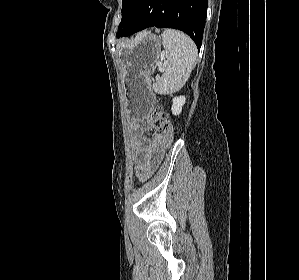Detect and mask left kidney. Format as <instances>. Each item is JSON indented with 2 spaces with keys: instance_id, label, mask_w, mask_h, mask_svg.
Wrapping results in <instances>:
<instances>
[{
  "instance_id": "1",
  "label": "left kidney",
  "mask_w": 299,
  "mask_h": 280,
  "mask_svg": "<svg viewBox=\"0 0 299 280\" xmlns=\"http://www.w3.org/2000/svg\"><path fill=\"white\" fill-rule=\"evenodd\" d=\"M172 101V113L174 115H179L182 111L183 105L185 104L186 98L185 96L174 97Z\"/></svg>"
}]
</instances>
